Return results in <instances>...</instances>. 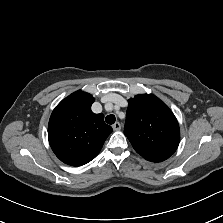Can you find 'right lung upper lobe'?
Instances as JSON below:
<instances>
[{"label": "right lung upper lobe", "mask_w": 223, "mask_h": 223, "mask_svg": "<svg viewBox=\"0 0 223 223\" xmlns=\"http://www.w3.org/2000/svg\"><path fill=\"white\" fill-rule=\"evenodd\" d=\"M93 102L90 94L79 90L62 100L51 114L49 143L55 155L68 165L91 161L112 133L104 115L91 111Z\"/></svg>", "instance_id": "cb5924a9"}]
</instances>
